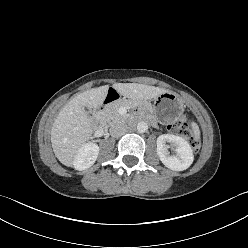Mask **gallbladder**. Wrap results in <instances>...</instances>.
<instances>
[{
  "mask_svg": "<svg viewBox=\"0 0 248 248\" xmlns=\"http://www.w3.org/2000/svg\"><path fill=\"white\" fill-rule=\"evenodd\" d=\"M87 113H88L89 115H91V114H92V111H91V110H87Z\"/></svg>",
  "mask_w": 248,
  "mask_h": 248,
  "instance_id": "obj_1",
  "label": "gallbladder"
}]
</instances>
